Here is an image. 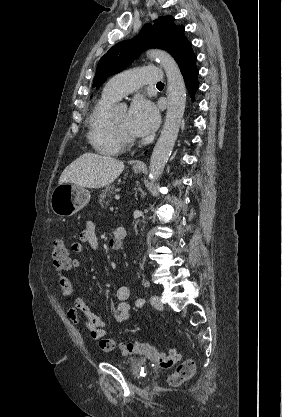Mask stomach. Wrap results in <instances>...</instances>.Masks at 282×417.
Returning <instances> with one entry per match:
<instances>
[{"label":"stomach","instance_id":"0dacf381","mask_svg":"<svg viewBox=\"0 0 282 417\" xmlns=\"http://www.w3.org/2000/svg\"><path fill=\"white\" fill-rule=\"evenodd\" d=\"M134 172H140L141 168L133 166ZM90 192L84 186H78L73 182H63L52 190L50 196L51 209L59 217H72L83 209L90 200Z\"/></svg>","mask_w":282,"mask_h":417}]
</instances>
